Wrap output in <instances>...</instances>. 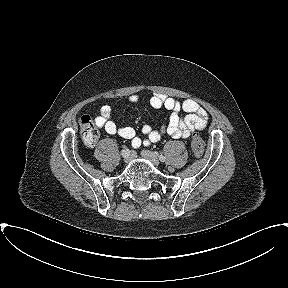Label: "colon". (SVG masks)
I'll return each mask as SVG.
<instances>
[{"label":"colon","mask_w":288,"mask_h":288,"mask_svg":"<svg viewBox=\"0 0 288 288\" xmlns=\"http://www.w3.org/2000/svg\"><path fill=\"white\" fill-rule=\"evenodd\" d=\"M81 135L87 145H94L99 139V131L89 115H83L79 119ZM191 148L196 157L204 153L205 144L199 134H194L191 140Z\"/></svg>","instance_id":"colon-1"}]
</instances>
